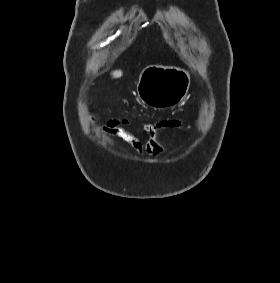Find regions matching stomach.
I'll return each mask as SVG.
<instances>
[{"mask_svg": "<svg viewBox=\"0 0 280 283\" xmlns=\"http://www.w3.org/2000/svg\"><path fill=\"white\" fill-rule=\"evenodd\" d=\"M189 73L179 67L149 65L140 73L137 93L140 100L158 109L174 107L186 97Z\"/></svg>", "mask_w": 280, "mask_h": 283, "instance_id": "1", "label": "stomach"}]
</instances>
